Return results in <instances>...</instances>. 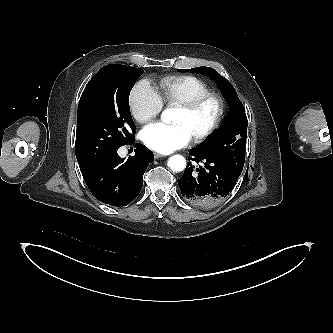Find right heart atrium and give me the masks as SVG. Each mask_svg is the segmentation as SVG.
Returning <instances> with one entry per match:
<instances>
[{"label": "right heart atrium", "mask_w": 333, "mask_h": 333, "mask_svg": "<svg viewBox=\"0 0 333 333\" xmlns=\"http://www.w3.org/2000/svg\"><path fill=\"white\" fill-rule=\"evenodd\" d=\"M129 107L134 119L139 123H145L160 114L163 101L151 84L142 80L130 93Z\"/></svg>", "instance_id": "1"}]
</instances>
